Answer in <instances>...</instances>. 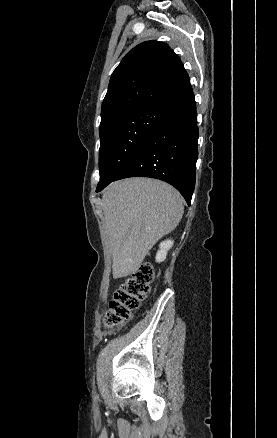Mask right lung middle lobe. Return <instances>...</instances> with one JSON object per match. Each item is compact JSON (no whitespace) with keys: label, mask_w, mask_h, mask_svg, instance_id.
I'll return each instance as SVG.
<instances>
[{"label":"right lung middle lobe","mask_w":277,"mask_h":438,"mask_svg":"<svg viewBox=\"0 0 277 438\" xmlns=\"http://www.w3.org/2000/svg\"><path fill=\"white\" fill-rule=\"evenodd\" d=\"M163 113L164 110H151L140 115H115L101 120L98 186L112 182L144 144Z\"/></svg>","instance_id":"dd1d6c3e"}]
</instances>
